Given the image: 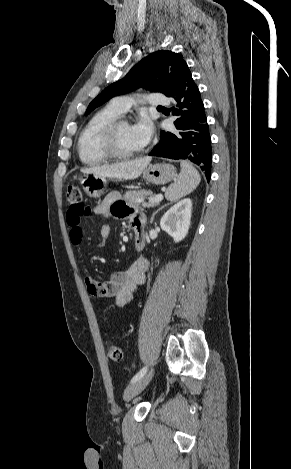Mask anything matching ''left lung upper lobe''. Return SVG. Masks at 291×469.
<instances>
[{"label":"left lung upper lobe","mask_w":291,"mask_h":469,"mask_svg":"<svg viewBox=\"0 0 291 469\" xmlns=\"http://www.w3.org/2000/svg\"><path fill=\"white\" fill-rule=\"evenodd\" d=\"M189 70L180 54L160 50L149 54L136 64L121 80L105 88L88 106L86 114L114 96L144 87L169 96Z\"/></svg>","instance_id":"obj_1"}]
</instances>
